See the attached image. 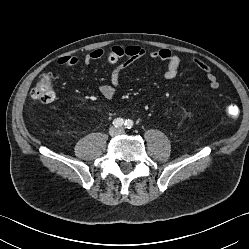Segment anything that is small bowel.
I'll list each match as a JSON object with an SVG mask.
<instances>
[{"label":"small bowel","instance_id":"1","mask_svg":"<svg viewBox=\"0 0 249 249\" xmlns=\"http://www.w3.org/2000/svg\"><path fill=\"white\" fill-rule=\"evenodd\" d=\"M149 57L153 60H159L164 63L163 76L166 79H174L179 68L185 63V60L177 53L167 48H159L153 51H147L140 45L113 46L108 51L96 48L88 52L82 59L83 64L88 65L94 61L105 58L106 61L114 65L110 73V83L99 86L100 94L106 99H113L117 94L120 85L121 73L133 62L143 57ZM124 59L121 64L119 62ZM191 61L206 74L209 86L216 90L219 87L217 76L212 72L210 66L199 57H192ZM57 65L64 67H74L79 63V58L74 55L63 56L57 60Z\"/></svg>","mask_w":249,"mask_h":249}]
</instances>
